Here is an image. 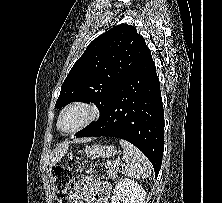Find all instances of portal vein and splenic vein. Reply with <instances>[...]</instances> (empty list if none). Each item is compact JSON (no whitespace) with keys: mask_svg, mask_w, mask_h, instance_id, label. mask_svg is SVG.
I'll return each instance as SVG.
<instances>
[{"mask_svg":"<svg viewBox=\"0 0 222 203\" xmlns=\"http://www.w3.org/2000/svg\"><path fill=\"white\" fill-rule=\"evenodd\" d=\"M116 164H117V165H119V164H120V162H119L118 160H116Z\"/></svg>","mask_w":222,"mask_h":203,"instance_id":"18ae733b","label":"portal vein and splenic vein"}]
</instances>
